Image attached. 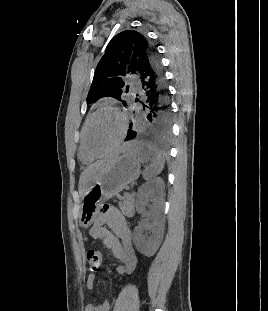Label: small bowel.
I'll return each instance as SVG.
<instances>
[{"label": "small bowel", "instance_id": "c3829d8e", "mask_svg": "<svg viewBox=\"0 0 268 311\" xmlns=\"http://www.w3.org/2000/svg\"><path fill=\"white\" fill-rule=\"evenodd\" d=\"M90 237L101 241L104 247L111 252L119 262L116 273L119 275L131 274L137 263L131 231L122 213L113 206L104 205L94 225L89 231ZM95 276L90 273L86 279V286L90 294L94 292ZM111 302L105 299L102 303L89 302L85 311H109Z\"/></svg>", "mask_w": 268, "mask_h": 311}]
</instances>
